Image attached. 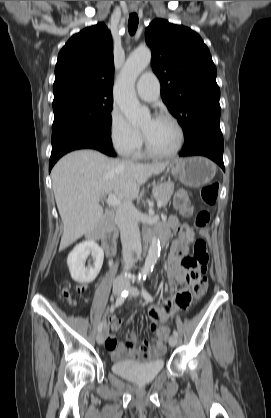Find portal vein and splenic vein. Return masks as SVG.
Segmentation results:
<instances>
[{"label":"portal vein and splenic vein","instance_id":"18ae733b","mask_svg":"<svg viewBox=\"0 0 271 418\" xmlns=\"http://www.w3.org/2000/svg\"><path fill=\"white\" fill-rule=\"evenodd\" d=\"M106 203L108 205L116 207L120 205V200L114 194L110 193L108 195V198L106 199ZM157 206L160 208L162 206V202L158 201Z\"/></svg>","mask_w":271,"mask_h":418}]
</instances>
